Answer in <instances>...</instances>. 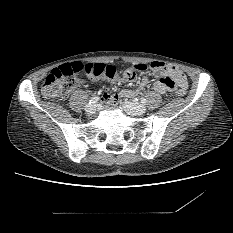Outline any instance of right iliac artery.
Segmentation results:
<instances>
[{"label":"right iliac artery","mask_w":233,"mask_h":233,"mask_svg":"<svg viewBox=\"0 0 233 233\" xmlns=\"http://www.w3.org/2000/svg\"><path fill=\"white\" fill-rule=\"evenodd\" d=\"M98 100L99 98L97 96H94L89 100V104H95L98 102Z\"/></svg>","instance_id":"82829eb1"}]
</instances>
